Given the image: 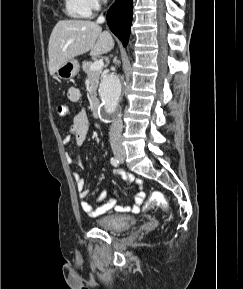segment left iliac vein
Wrapping results in <instances>:
<instances>
[{"mask_svg":"<svg viewBox=\"0 0 243 289\" xmlns=\"http://www.w3.org/2000/svg\"><path fill=\"white\" fill-rule=\"evenodd\" d=\"M119 159H120L121 162H123L124 161V156L120 157Z\"/></svg>","mask_w":243,"mask_h":289,"instance_id":"obj_1","label":"left iliac vein"}]
</instances>
